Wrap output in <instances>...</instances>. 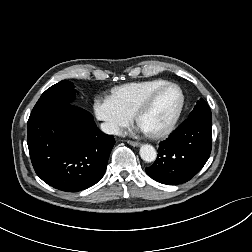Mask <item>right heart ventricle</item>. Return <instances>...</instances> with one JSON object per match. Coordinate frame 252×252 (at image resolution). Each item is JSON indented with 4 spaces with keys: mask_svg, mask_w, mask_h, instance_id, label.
I'll list each match as a JSON object with an SVG mask.
<instances>
[{
    "mask_svg": "<svg viewBox=\"0 0 252 252\" xmlns=\"http://www.w3.org/2000/svg\"><path fill=\"white\" fill-rule=\"evenodd\" d=\"M167 82L165 79L156 78L127 83L114 88L111 97L121 108L133 115L138 105L153 89Z\"/></svg>",
    "mask_w": 252,
    "mask_h": 252,
    "instance_id": "right-heart-ventricle-1",
    "label": "right heart ventricle"
}]
</instances>
